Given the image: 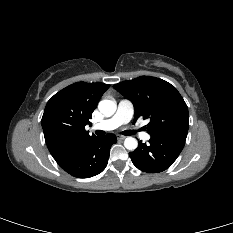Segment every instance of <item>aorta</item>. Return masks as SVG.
Returning a JSON list of instances; mask_svg holds the SVG:
<instances>
[{
    "mask_svg": "<svg viewBox=\"0 0 233 233\" xmlns=\"http://www.w3.org/2000/svg\"><path fill=\"white\" fill-rule=\"evenodd\" d=\"M99 111L106 117H111L117 109V104L113 100H102L98 104ZM124 146L128 150H135L138 147V141L133 137H127Z\"/></svg>",
    "mask_w": 233,
    "mask_h": 233,
    "instance_id": "aorta-1",
    "label": "aorta"
}]
</instances>
